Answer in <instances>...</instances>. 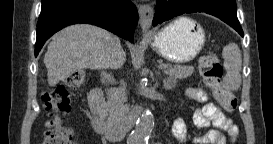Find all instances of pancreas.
I'll use <instances>...</instances> for the list:
<instances>
[{
  "label": "pancreas",
  "instance_id": "pancreas-1",
  "mask_svg": "<svg viewBox=\"0 0 273 144\" xmlns=\"http://www.w3.org/2000/svg\"><path fill=\"white\" fill-rule=\"evenodd\" d=\"M165 73L170 76L171 79H185L190 77L194 72L192 66L171 65L165 64ZM126 102V91L124 87L112 88L107 92V103L105 106V115L110 121L119 122L129 111V106Z\"/></svg>",
  "mask_w": 273,
  "mask_h": 144
}]
</instances>
